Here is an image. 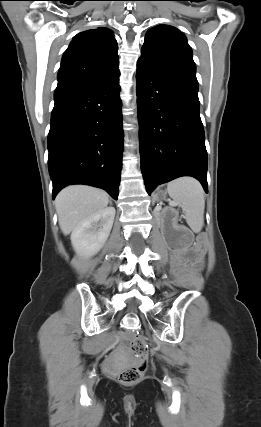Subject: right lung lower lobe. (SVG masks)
Here are the masks:
<instances>
[{"instance_id":"1","label":"right lung lower lobe","mask_w":261,"mask_h":427,"mask_svg":"<svg viewBox=\"0 0 261 427\" xmlns=\"http://www.w3.org/2000/svg\"><path fill=\"white\" fill-rule=\"evenodd\" d=\"M119 75L55 98L48 134L53 199L69 184H87L117 200L123 152Z\"/></svg>"}]
</instances>
